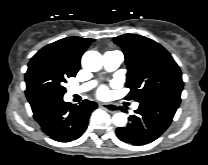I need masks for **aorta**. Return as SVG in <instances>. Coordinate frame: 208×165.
Masks as SVG:
<instances>
[{
    "label": "aorta",
    "mask_w": 208,
    "mask_h": 165,
    "mask_svg": "<svg viewBox=\"0 0 208 165\" xmlns=\"http://www.w3.org/2000/svg\"><path fill=\"white\" fill-rule=\"evenodd\" d=\"M81 62L84 69L97 72L102 68L103 58L97 51H87L82 56ZM112 122L117 127H123L127 123V115L122 112L115 113L112 117Z\"/></svg>",
    "instance_id": "obj_1"
}]
</instances>
